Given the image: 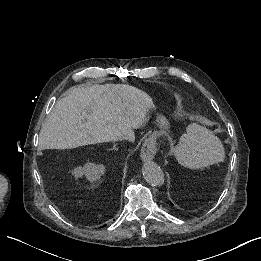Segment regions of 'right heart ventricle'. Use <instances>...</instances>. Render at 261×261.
Segmentation results:
<instances>
[{
  "label": "right heart ventricle",
  "instance_id": "right-heart-ventricle-1",
  "mask_svg": "<svg viewBox=\"0 0 261 261\" xmlns=\"http://www.w3.org/2000/svg\"><path fill=\"white\" fill-rule=\"evenodd\" d=\"M155 113H162L168 116H177L183 117L184 113V98L183 96L174 91V90H167V94L163 103L153 112L144 114L146 117L155 114Z\"/></svg>",
  "mask_w": 261,
  "mask_h": 261
}]
</instances>
